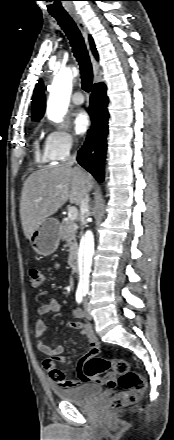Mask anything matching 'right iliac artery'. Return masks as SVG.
Masks as SVG:
<instances>
[{
	"label": "right iliac artery",
	"mask_w": 174,
	"mask_h": 440,
	"mask_svg": "<svg viewBox=\"0 0 174 440\" xmlns=\"http://www.w3.org/2000/svg\"><path fill=\"white\" fill-rule=\"evenodd\" d=\"M85 294L84 293H82V292H77L76 293V301H77V303H81L82 302V300H83V296H84Z\"/></svg>",
	"instance_id": "obj_1"
}]
</instances>
